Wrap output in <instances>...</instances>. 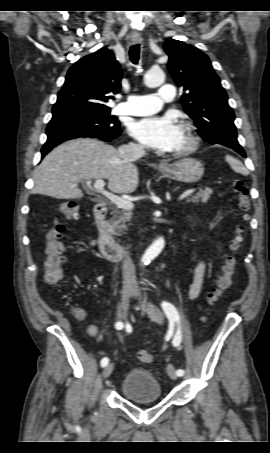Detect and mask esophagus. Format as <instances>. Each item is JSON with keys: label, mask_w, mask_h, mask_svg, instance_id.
<instances>
[{"label": "esophagus", "mask_w": 270, "mask_h": 453, "mask_svg": "<svg viewBox=\"0 0 270 453\" xmlns=\"http://www.w3.org/2000/svg\"><path fill=\"white\" fill-rule=\"evenodd\" d=\"M133 42H134V43H140V42H142V38H141V37H134V38H133ZM159 166H160V167H165V166H166V163H160Z\"/></svg>", "instance_id": "34e87169"}]
</instances>
